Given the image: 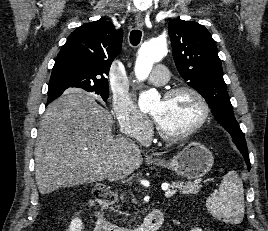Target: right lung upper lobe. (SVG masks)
Here are the masks:
<instances>
[{
	"label": "right lung upper lobe",
	"instance_id": "obj_1",
	"mask_svg": "<svg viewBox=\"0 0 268 231\" xmlns=\"http://www.w3.org/2000/svg\"><path fill=\"white\" fill-rule=\"evenodd\" d=\"M122 36L121 29L116 30L111 22L104 20L85 23L74 30L57 55L49 89H109L106 76L121 51ZM60 95H48L47 103Z\"/></svg>",
	"mask_w": 268,
	"mask_h": 231
}]
</instances>
